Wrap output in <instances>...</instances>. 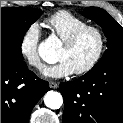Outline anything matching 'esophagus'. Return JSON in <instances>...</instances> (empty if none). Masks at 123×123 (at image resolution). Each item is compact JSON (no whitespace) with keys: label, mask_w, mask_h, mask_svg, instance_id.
Wrapping results in <instances>:
<instances>
[{"label":"esophagus","mask_w":123,"mask_h":123,"mask_svg":"<svg viewBox=\"0 0 123 123\" xmlns=\"http://www.w3.org/2000/svg\"><path fill=\"white\" fill-rule=\"evenodd\" d=\"M49 87L52 89H55L58 87V83L54 82V81H50L49 82Z\"/></svg>","instance_id":"1"}]
</instances>
